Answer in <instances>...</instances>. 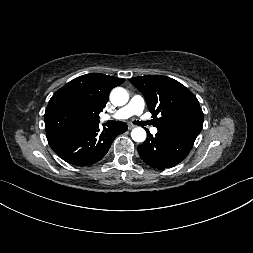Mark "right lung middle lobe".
<instances>
[{"label":"right lung middle lobe","instance_id":"obj_1","mask_svg":"<svg viewBox=\"0 0 253 253\" xmlns=\"http://www.w3.org/2000/svg\"><path fill=\"white\" fill-rule=\"evenodd\" d=\"M90 127L86 115L67 100L50 101L45 111L47 139Z\"/></svg>","mask_w":253,"mask_h":253}]
</instances>
